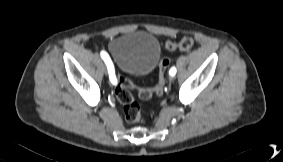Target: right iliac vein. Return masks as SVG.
<instances>
[{
    "label": "right iliac vein",
    "instance_id": "1",
    "mask_svg": "<svg viewBox=\"0 0 283 162\" xmlns=\"http://www.w3.org/2000/svg\"><path fill=\"white\" fill-rule=\"evenodd\" d=\"M104 72L107 74L108 73V70L106 67H104Z\"/></svg>",
    "mask_w": 283,
    "mask_h": 162
}]
</instances>
